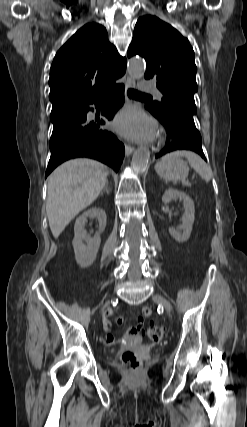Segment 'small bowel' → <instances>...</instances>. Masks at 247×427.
<instances>
[{"label": "small bowel", "instance_id": "small-bowel-1", "mask_svg": "<svg viewBox=\"0 0 247 427\" xmlns=\"http://www.w3.org/2000/svg\"><path fill=\"white\" fill-rule=\"evenodd\" d=\"M151 315V309L150 308H144L142 311V315L137 318V323L130 327L128 331L121 337V340L124 342H139L141 340V334L140 331L142 330L143 324H144V318ZM117 324L123 323V317L118 315L115 319ZM103 328L105 331L109 332L112 327V323L109 320L108 315L104 316L103 321ZM115 341L114 337L110 334H108L104 338V342L106 344H112Z\"/></svg>", "mask_w": 247, "mask_h": 427}]
</instances>
